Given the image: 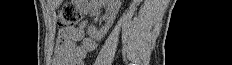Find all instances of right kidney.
I'll list each match as a JSON object with an SVG mask.
<instances>
[{
  "instance_id": "1",
  "label": "right kidney",
  "mask_w": 232,
  "mask_h": 65,
  "mask_svg": "<svg viewBox=\"0 0 232 65\" xmlns=\"http://www.w3.org/2000/svg\"><path fill=\"white\" fill-rule=\"evenodd\" d=\"M103 5H108V10L110 13L109 21L99 31L96 30L94 26H89L88 31H87L88 35L91 38L95 39L96 41H100L107 34L108 30L110 29V27L112 26L116 18V15L118 14L119 8L121 6V1L120 0H99L98 3L90 7L91 15H95L98 9Z\"/></svg>"
}]
</instances>
